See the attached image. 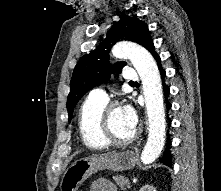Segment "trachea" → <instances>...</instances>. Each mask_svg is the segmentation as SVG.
<instances>
[{
    "mask_svg": "<svg viewBox=\"0 0 221 191\" xmlns=\"http://www.w3.org/2000/svg\"><path fill=\"white\" fill-rule=\"evenodd\" d=\"M130 84H135V82H130Z\"/></svg>",
    "mask_w": 221,
    "mask_h": 191,
    "instance_id": "1",
    "label": "trachea"
}]
</instances>
